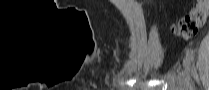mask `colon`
I'll use <instances>...</instances> for the list:
<instances>
[{
	"label": "colon",
	"instance_id": "obj_1",
	"mask_svg": "<svg viewBox=\"0 0 209 90\" xmlns=\"http://www.w3.org/2000/svg\"><path fill=\"white\" fill-rule=\"evenodd\" d=\"M209 14V0H199L196 6L172 26L175 36L188 39L204 25Z\"/></svg>",
	"mask_w": 209,
	"mask_h": 90
}]
</instances>
